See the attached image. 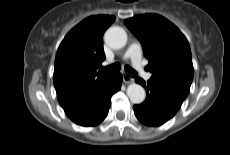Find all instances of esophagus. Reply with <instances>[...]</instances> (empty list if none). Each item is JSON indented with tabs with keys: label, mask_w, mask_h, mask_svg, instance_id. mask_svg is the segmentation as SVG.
<instances>
[{
	"label": "esophagus",
	"mask_w": 230,
	"mask_h": 155,
	"mask_svg": "<svg viewBox=\"0 0 230 155\" xmlns=\"http://www.w3.org/2000/svg\"><path fill=\"white\" fill-rule=\"evenodd\" d=\"M122 76L124 83L128 84L134 82V79L128 76L127 74L123 73Z\"/></svg>",
	"instance_id": "34e87169"
}]
</instances>
